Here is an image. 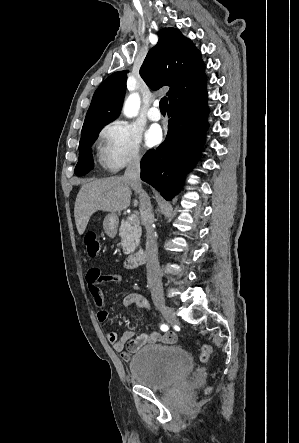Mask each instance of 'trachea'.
Here are the masks:
<instances>
[{
	"instance_id": "obj_1",
	"label": "trachea",
	"mask_w": 299,
	"mask_h": 443,
	"mask_svg": "<svg viewBox=\"0 0 299 443\" xmlns=\"http://www.w3.org/2000/svg\"><path fill=\"white\" fill-rule=\"evenodd\" d=\"M167 106H168V99H167V97H163L160 100V104H159L161 112H166Z\"/></svg>"
}]
</instances>
